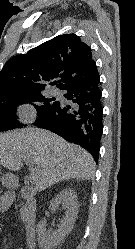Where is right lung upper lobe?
Instances as JSON below:
<instances>
[{"label":"right lung upper lobe","instance_id":"obj_1","mask_svg":"<svg viewBox=\"0 0 135 249\" xmlns=\"http://www.w3.org/2000/svg\"><path fill=\"white\" fill-rule=\"evenodd\" d=\"M98 74L91 48L75 34H63L7 61L0 71V99L39 92L42 81L62 90Z\"/></svg>","mask_w":135,"mask_h":249}]
</instances>
